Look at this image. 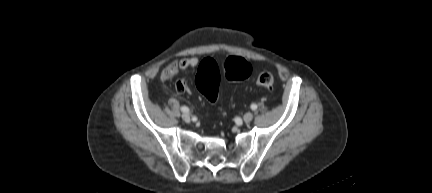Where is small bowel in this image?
Wrapping results in <instances>:
<instances>
[{
    "label": "small bowel",
    "mask_w": 432,
    "mask_h": 193,
    "mask_svg": "<svg viewBox=\"0 0 432 193\" xmlns=\"http://www.w3.org/2000/svg\"><path fill=\"white\" fill-rule=\"evenodd\" d=\"M199 64V59L195 56L183 58L179 61L178 67L180 70H188L197 67ZM176 88L178 91H184L186 88V83L182 80H179L176 83Z\"/></svg>",
    "instance_id": "small-bowel-1"
}]
</instances>
